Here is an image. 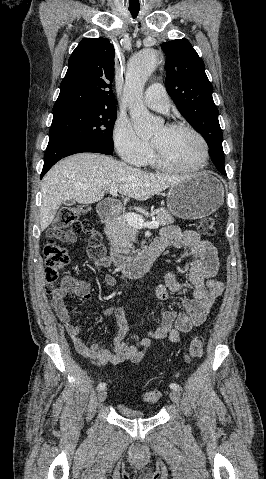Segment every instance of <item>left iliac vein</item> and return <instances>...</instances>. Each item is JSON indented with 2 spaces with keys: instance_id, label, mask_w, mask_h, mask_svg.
I'll use <instances>...</instances> for the list:
<instances>
[{
  "instance_id": "4c4485c4",
  "label": "left iliac vein",
  "mask_w": 266,
  "mask_h": 479,
  "mask_svg": "<svg viewBox=\"0 0 266 479\" xmlns=\"http://www.w3.org/2000/svg\"><path fill=\"white\" fill-rule=\"evenodd\" d=\"M170 399L175 403L179 404L180 403V393L177 390H173L170 392Z\"/></svg>"
}]
</instances>
